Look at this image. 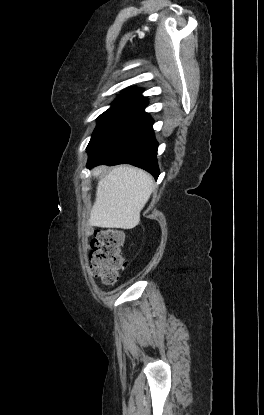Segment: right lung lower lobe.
<instances>
[{"label":"right lung lower lobe","instance_id":"obj_1","mask_svg":"<svg viewBox=\"0 0 264 415\" xmlns=\"http://www.w3.org/2000/svg\"><path fill=\"white\" fill-rule=\"evenodd\" d=\"M147 102L128 112L87 149V167L100 164H132L159 176L158 143L153 132V120L144 109Z\"/></svg>","mask_w":264,"mask_h":415}]
</instances>
